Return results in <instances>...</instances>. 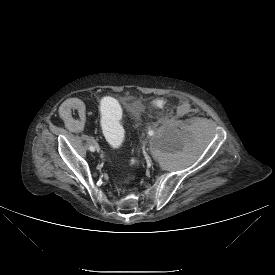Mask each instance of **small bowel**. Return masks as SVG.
Instances as JSON below:
<instances>
[{"mask_svg":"<svg viewBox=\"0 0 275 275\" xmlns=\"http://www.w3.org/2000/svg\"><path fill=\"white\" fill-rule=\"evenodd\" d=\"M58 116L75 132H80L84 127L85 107L78 99L64 101L58 109Z\"/></svg>","mask_w":275,"mask_h":275,"instance_id":"1","label":"small bowel"}]
</instances>
